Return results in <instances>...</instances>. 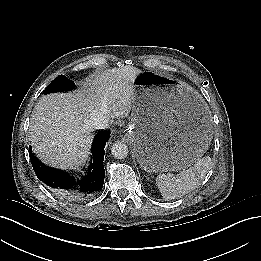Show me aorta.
<instances>
[{
    "label": "aorta",
    "mask_w": 261,
    "mask_h": 261,
    "mask_svg": "<svg viewBox=\"0 0 261 261\" xmlns=\"http://www.w3.org/2000/svg\"><path fill=\"white\" fill-rule=\"evenodd\" d=\"M128 146L123 142H116L112 145L111 153L117 159H124L128 155Z\"/></svg>",
    "instance_id": "aorta-1"
}]
</instances>
